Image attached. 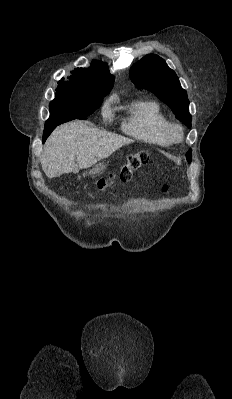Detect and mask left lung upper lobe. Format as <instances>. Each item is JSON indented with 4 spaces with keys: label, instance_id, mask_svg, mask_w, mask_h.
<instances>
[{
    "label": "left lung upper lobe",
    "instance_id": "5c2ea615",
    "mask_svg": "<svg viewBox=\"0 0 232 399\" xmlns=\"http://www.w3.org/2000/svg\"><path fill=\"white\" fill-rule=\"evenodd\" d=\"M132 82L139 88L153 92L167 104L176 118L191 128L189 100L186 91L181 87L176 73L157 55L149 54L134 64L129 72ZM192 150L186 153L191 162Z\"/></svg>",
    "mask_w": 232,
    "mask_h": 399
}]
</instances>
